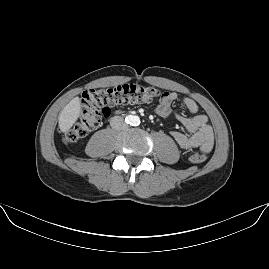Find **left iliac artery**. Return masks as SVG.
Segmentation results:
<instances>
[{
	"instance_id": "obj_1",
	"label": "left iliac artery",
	"mask_w": 269,
	"mask_h": 269,
	"mask_svg": "<svg viewBox=\"0 0 269 269\" xmlns=\"http://www.w3.org/2000/svg\"><path fill=\"white\" fill-rule=\"evenodd\" d=\"M139 124H140V119L137 116H135L133 119V125L138 126Z\"/></svg>"
}]
</instances>
